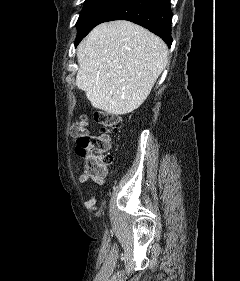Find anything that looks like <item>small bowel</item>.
Instances as JSON below:
<instances>
[{
  "mask_svg": "<svg viewBox=\"0 0 240 281\" xmlns=\"http://www.w3.org/2000/svg\"><path fill=\"white\" fill-rule=\"evenodd\" d=\"M105 173L102 174V175H92V174H88L86 173L85 171L82 170L80 176H79V182L80 183H86V182H89V181H92L98 185H104L105 184ZM85 206L89 209H92V210H96L97 207L95 206V199L94 198H91L90 200H88L86 203H85Z\"/></svg>",
  "mask_w": 240,
  "mask_h": 281,
  "instance_id": "1",
  "label": "small bowel"
}]
</instances>
